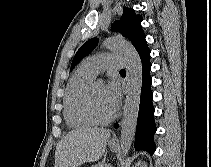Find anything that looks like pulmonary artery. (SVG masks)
I'll return each mask as SVG.
<instances>
[{
  "label": "pulmonary artery",
  "instance_id": "obj_1",
  "mask_svg": "<svg viewBox=\"0 0 211 167\" xmlns=\"http://www.w3.org/2000/svg\"><path fill=\"white\" fill-rule=\"evenodd\" d=\"M81 66L96 76L101 71L121 69L125 66V60L119 55L102 53L86 58Z\"/></svg>",
  "mask_w": 211,
  "mask_h": 167
}]
</instances>
